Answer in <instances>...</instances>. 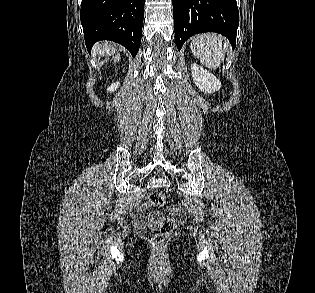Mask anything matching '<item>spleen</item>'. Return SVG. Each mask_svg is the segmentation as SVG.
<instances>
[{"label":"spleen","instance_id":"1","mask_svg":"<svg viewBox=\"0 0 315 293\" xmlns=\"http://www.w3.org/2000/svg\"><path fill=\"white\" fill-rule=\"evenodd\" d=\"M195 57L209 69H216L224 61L227 45L216 34H201L195 37L190 45Z\"/></svg>","mask_w":315,"mask_h":293}]
</instances>
